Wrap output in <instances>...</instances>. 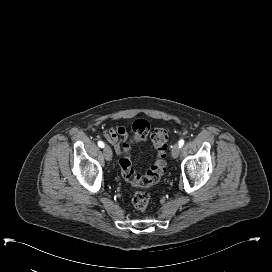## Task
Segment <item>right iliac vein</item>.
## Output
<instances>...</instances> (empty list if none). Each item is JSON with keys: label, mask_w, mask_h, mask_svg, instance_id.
Wrapping results in <instances>:
<instances>
[{"label": "right iliac vein", "mask_w": 272, "mask_h": 272, "mask_svg": "<svg viewBox=\"0 0 272 272\" xmlns=\"http://www.w3.org/2000/svg\"><path fill=\"white\" fill-rule=\"evenodd\" d=\"M104 152V156H105V159L107 161H111L112 160V150L110 149V147L106 146L103 150Z\"/></svg>", "instance_id": "obj_1"}]
</instances>
